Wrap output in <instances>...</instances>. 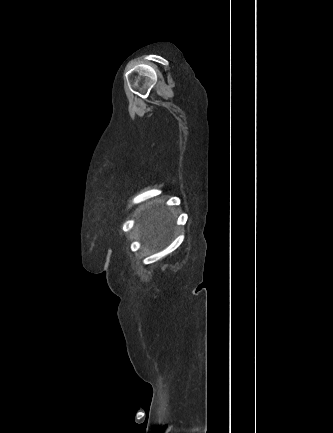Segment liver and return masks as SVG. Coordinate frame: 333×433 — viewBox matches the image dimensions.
Segmentation results:
<instances>
[{
    "label": "liver",
    "mask_w": 333,
    "mask_h": 433,
    "mask_svg": "<svg viewBox=\"0 0 333 433\" xmlns=\"http://www.w3.org/2000/svg\"><path fill=\"white\" fill-rule=\"evenodd\" d=\"M138 227L146 247H162L173 229L171 211L164 207L159 208L157 202H151L144 207Z\"/></svg>",
    "instance_id": "obj_1"
}]
</instances>
